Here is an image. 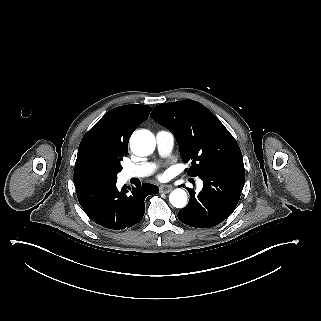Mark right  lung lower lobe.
<instances>
[{
  "mask_svg": "<svg viewBox=\"0 0 321 321\" xmlns=\"http://www.w3.org/2000/svg\"><path fill=\"white\" fill-rule=\"evenodd\" d=\"M75 188L86 214L95 223L113 230L137 224L145 213V198L159 192L157 186L149 183L128 192L125 186L118 190L116 181L98 179L79 182Z\"/></svg>",
  "mask_w": 321,
  "mask_h": 321,
  "instance_id": "right-lung-lower-lobe-1",
  "label": "right lung lower lobe"
}]
</instances>
